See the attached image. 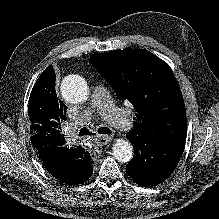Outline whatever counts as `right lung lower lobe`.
<instances>
[{
    "label": "right lung lower lobe",
    "mask_w": 219,
    "mask_h": 219,
    "mask_svg": "<svg viewBox=\"0 0 219 219\" xmlns=\"http://www.w3.org/2000/svg\"><path fill=\"white\" fill-rule=\"evenodd\" d=\"M39 156L43 161L48 172L58 180L67 184L77 185L85 182L93 172L92 161L90 157L86 156L84 149L69 148L67 146H43L38 149ZM62 154V157L68 161L70 176H61L53 170V162L46 164L45 161L52 160L53 158ZM90 156V155H89Z\"/></svg>",
    "instance_id": "obj_1"
}]
</instances>
